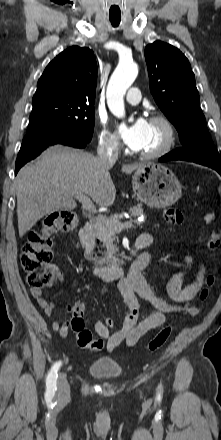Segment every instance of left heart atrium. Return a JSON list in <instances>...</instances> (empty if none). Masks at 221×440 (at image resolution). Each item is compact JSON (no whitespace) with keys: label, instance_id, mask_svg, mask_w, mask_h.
Returning <instances> with one entry per match:
<instances>
[{"label":"left heart atrium","instance_id":"obj_1","mask_svg":"<svg viewBox=\"0 0 221 440\" xmlns=\"http://www.w3.org/2000/svg\"><path fill=\"white\" fill-rule=\"evenodd\" d=\"M119 130L124 142L130 148L141 150L146 143L149 122L141 117L132 123H121Z\"/></svg>","mask_w":221,"mask_h":440}]
</instances>
